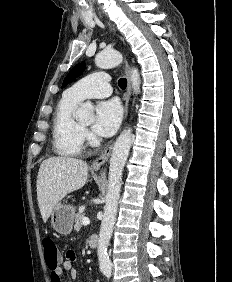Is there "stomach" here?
Wrapping results in <instances>:
<instances>
[{"label": "stomach", "mask_w": 232, "mask_h": 282, "mask_svg": "<svg viewBox=\"0 0 232 282\" xmlns=\"http://www.w3.org/2000/svg\"><path fill=\"white\" fill-rule=\"evenodd\" d=\"M75 207L57 203L51 212V225L61 235H68L73 228Z\"/></svg>", "instance_id": "stomach-1"}]
</instances>
